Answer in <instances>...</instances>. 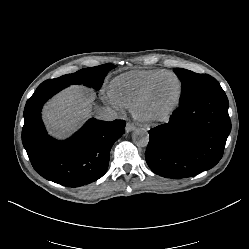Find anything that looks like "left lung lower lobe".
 I'll return each instance as SVG.
<instances>
[{"label":"left lung lower lobe","instance_id":"obj_1","mask_svg":"<svg viewBox=\"0 0 249 249\" xmlns=\"http://www.w3.org/2000/svg\"><path fill=\"white\" fill-rule=\"evenodd\" d=\"M228 106L223 90L180 104L168 123L149 132L145 159L150 169L178 179L214 167L222 158L231 131Z\"/></svg>","mask_w":249,"mask_h":249}]
</instances>
